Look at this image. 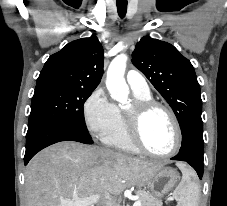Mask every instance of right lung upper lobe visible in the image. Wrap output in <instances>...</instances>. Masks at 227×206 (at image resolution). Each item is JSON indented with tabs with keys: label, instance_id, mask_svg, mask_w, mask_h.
Wrapping results in <instances>:
<instances>
[{
	"label": "right lung upper lobe",
	"instance_id": "1",
	"mask_svg": "<svg viewBox=\"0 0 227 206\" xmlns=\"http://www.w3.org/2000/svg\"><path fill=\"white\" fill-rule=\"evenodd\" d=\"M103 48L96 36L68 43L46 61L37 84L95 89L103 74Z\"/></svg>",
	"mask_w": 227,
	"mask_h": 206
}]
</instances>
